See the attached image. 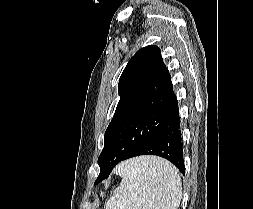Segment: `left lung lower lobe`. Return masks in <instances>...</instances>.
<instances>
[{"mask_svg":"<svg viewBox=\"0 0 253 209\" xmlns=\"http://www.w3.org/2000/svg\"><path fill=\"white\" fill-rule=\"evenodd\" d=\"M139 155L161 156L172 162L180 172L183 174L185 173L178 108L165 126L131 157ZM112 170L113 169H110L107 172L100 174L95 184H98L100 181L107 178Z\"/></svg>","mask_w":253,"mask_h":209,"instance_id":"left-lung-lower-lobe-1","label":"left lung lower lobe"}]
</instances>
